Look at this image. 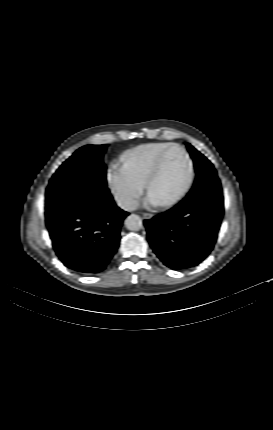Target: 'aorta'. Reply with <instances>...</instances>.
I'll list each match as a JSON object with an SVG mask.
<instances>
[{"label": "aorta", "instance_id": "762f6f07", "mask_svg": "<svg viewBox=\"0 0 273 430\" xmlns=\"http://www.w3.org/2000/svg\"><path fill=\"white\" fill-rule=\"evenodd\" d=\"M125 226L128 230L138 231V230L142 229L143 222H142V219L138 215L131 214L125 219Z\"/></svg>", "mask_w": 273, "mask_h": 430}]
</instances>
